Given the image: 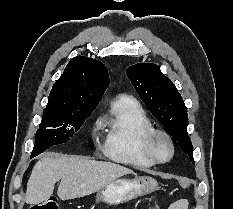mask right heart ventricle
<instances>
[{
	"mask_svg": "<svg viewBox=\"0 0 233 209\" xmlns=\"http://www.w3.org/2000/svg\"><path fill=\"white\" fill-rule=\"evenodd\" d=\"M102 124L107 128L103 152L108 158L140 168H149L156 163L144 147L153 125L133 97L120 95L113 99Z\"/></svg>",
	"mask_w": 233,
	"mask_h": 209,
	"instance_id": "e07e8e85",
	"label": "right heart ventricle"
}]
</instances>
